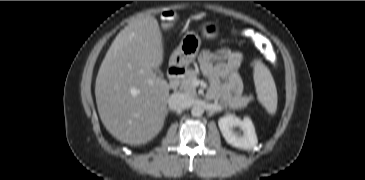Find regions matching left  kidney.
<instances>
[{
    "label": "left kidney",
    "instance_id": "left-kidney-1",
    "mask_svg": "<svg viewBox=\"0 0 365 180\" xmlns=\"http://www.w3.org/2000/svg\"><path fill=\"white\" fill-rule=\"evenodd\" d=\"M218 126L230 145L240 149H251L257 144V136L250 118H240L229 115L218 120Z\"/></svg>",
    "mask_w": 365,
    "mask_h": 180
}]
</instances>
